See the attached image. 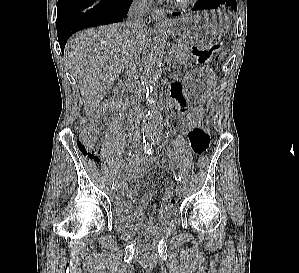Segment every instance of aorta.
Here are the masks:
<instances>
[{
  "instance_id": "aorta-1",
  "label": "aorta",
  "mask_w": 299,
  "mask_h": 273,
  "mask_svg": "<svg viewBox=\"0 0 299 273\" xmlns=\"http://www.w3.org/2000/svg\"><path fill=\"white\" fill-rule=\"evenodd\" d=\"M165 50V29L158 27L144 54V71L142 81L150 89V97L156 82L162 73V61ZM143 136L147 141L153 140L162 132V118L157 109L148 111L143 122Z\"/></svg>"
}]
</instances>
